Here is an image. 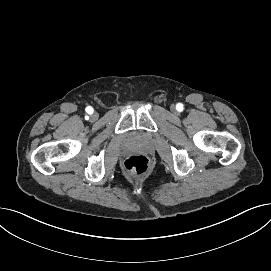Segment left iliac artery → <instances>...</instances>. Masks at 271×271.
I'll list each match as a JSON object with an SVG mask.
<instances>
[{
	"mask_svg": "<svg viewBox=\"0 0 271 271\" xmlns=\"http://www.w3.org/2000/svg\"><path fill=\"white\" fill-rule=\"evenodd\" d=\"M176 109H177L178 111H182V110H183V105L180 104V103L177 104Z\"/></svg>",
	"mask_w": 271,
	"mask_h": 271,
	"instance_id": "left-iliac-artery-1",
	"label": "left iliac artery"
}]
</instances>
